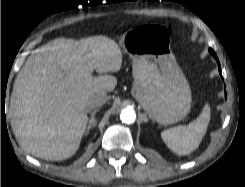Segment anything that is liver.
Listing matches in <instances>:
<instances>
[{
	"instance_id": "obj_1",
	"label": "liver",
	"mask_w": 245,
	"mask_h": 187,
	"mask_svg": "<svg viewBox=\"0 0 245 187\" xmlns=\"http://www.w3.org/2000/svg\"><path fill=\"white\" fill-rule=\"evenodd\" d=\"M122 52L105 36L57 38L35 49L18 73L10 99V122L19 145L35 157L73 156L85 133L89 96L117 85Z\"/></svg>"
}]
</instances>
